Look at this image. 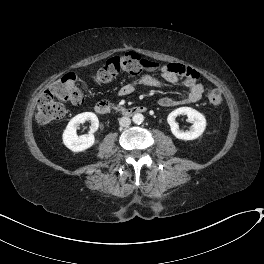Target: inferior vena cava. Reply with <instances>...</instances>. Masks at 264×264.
Returning <instances> with one entry per match:
<instances>
[{
	"label": "inferior vena cava",
	"mask_w": 264,
	"mask_h": 264,
	"mask_svg": "<svg viewBox=\"0 0 264 264\" xmlns=\"http://www.w3.org/2000/svg\"><path fill=\"white\" fill-rule=\"evenodd\" d=\"M119 124L122 127H127L131 124V120L128 117H122L119 119Z\"/></svg>",
	"instance_id": "1"
}]
</instances>
